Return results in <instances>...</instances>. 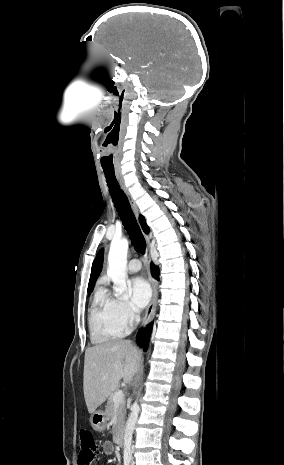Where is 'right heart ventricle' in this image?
<instances>
[{"label":"right heart ventricle","mask_w":284,"mask_h":465,"mask_svg":"<svg viewBox=\"0 0 284 465\" xmlns=\"http://www.w3.org/2000/svg\"><path fill=\"white\" fill-rule=\"evenodd\" d=\"M88 326L91 341L99 346L120 339L126 331L119 324L110 301L101 293L92 302Z\"/></svg>","instance_id":"right-heart-ventricle-1"}]
</instances>
